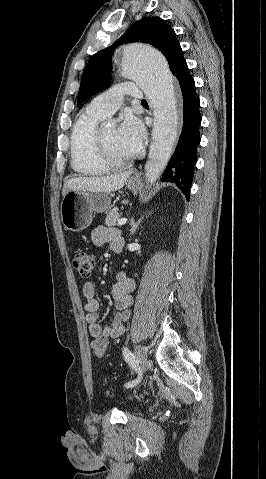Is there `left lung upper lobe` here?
<instances>
[{
	"label": "left lung upper lobe",
	"mask_w": 266,
	"mask_h": 479,
	"mask_svg": "<svg viewBox=\"0 0 266 479\" xmlns=\"http://www.w3.org/2000/svg\"><path fill=\"white\" fill-rule=\"evenodd\" d=\"M132 42L148 43L159 49L166 57L173 75L185 62L174 30L160 17H145L131 26L115 44L90 58L83 73L78 103L109 87L113 51L119 45Z\"/></svg>",
	"instance_id": "5c2ea615"
}]
</instances>
